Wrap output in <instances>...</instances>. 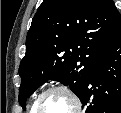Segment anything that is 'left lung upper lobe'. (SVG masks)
Returning a JSON list of instances; mask_svg holds the SVG:
<instances>
[{"label": "left lung upper lobe", "mask_w": 121, "mask_h": 113, "mask_svg": "<svg viewBox=\"0 0 121 113\" xmlns=\"http://www.w3.org/2000/svg\"><path fill=\"white\" fill-rule=\"evenodd\" d=\"M121 23L112 0H44L26 38L19 75V102L48 80L80 97L98 59Z\"/></svg>", "instance_id": "left-lung-upper-lobe-1"}]
</instances>
